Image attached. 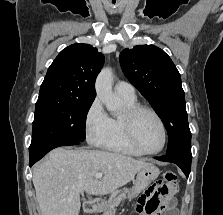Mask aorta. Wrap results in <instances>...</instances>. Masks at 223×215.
Wrapping results in <instances>:
<instances>
[{
    "label": "aorta",
    "instance_id": "762f6f07",
    "mask_svg": "<svg viewBox=\"0 0 223 215\" xmlns=\"http://www.w3.org/2000/svg\"><path fill=\"white\" fill-rule=\"evenodd\" d=\"M113 72L111 68H102L99 76H97L95 88L97 92V98L105 104L108 111H118L121 104V100L113 94Z\"/></svg>",
    "mask_w": 223,
    "mask_h": 215
}]
</instances>
